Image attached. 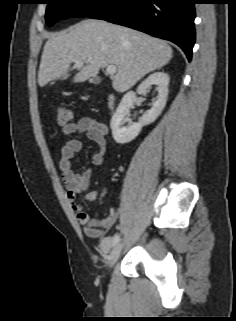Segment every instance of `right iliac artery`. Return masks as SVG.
I'll list each match as a JSON object with an SVG mask.
<instances>
[{
	"instance_id": "1",
	"label": "right iliac artery",
	"mask_w": 236,
	"mask_h": 321,
	"mask_svg": "<svg viewBox=\"0 0 236 321\" xmlns=\"http://www.w3.org/2000/svg\"><path fill=\"white\" fill-rule=\"evenodd\" d=\"M119 241V235H115L112 240V246H115Z\"/></svg>"
}]
</instances>
